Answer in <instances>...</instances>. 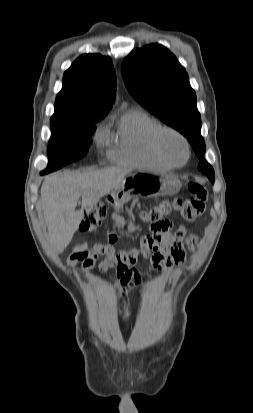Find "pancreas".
I'll list each match as a JSON object with an SVG mask.
<instances>
[{"label":"pancreas","instance_id":"cf45deb5","mask_svg":"<svg viewBox=\"0 0 253 413\" xmlns=\"http://www.w3.org/2000/svg\"><path fill=\"white\" fill-rule=\"evenodd\" d=\"M116 224H117V226H121V225H122L120 222H117Z\"/></svg>","mask_w":253,"mask_h":413}]
</instances>
